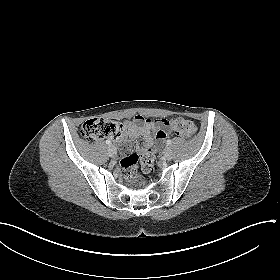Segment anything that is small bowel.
<instances>
[{
	"label": "small bowel",
	"mask_w": 280,
	"mask_h": 280,
	"mask_svg": "<svg viewBox=\"0 0 280 280\" xmlns=\"http://www.w3.org/2000/svg\"><path fill=\"white\" fill-rule=\"evenodd\" d=\"M167 125V120H152L142 115L135 116L132 120L125 123V130L115 138V141L122 145V151L129 148L131 141H136L139 136L144 138L145 148L152 152L156 151L165 139L168 133L163 129ZM138 152L144 151L138 143L135 145Z\"/></svg>",
	"instance_id": "obj_1"
}]
</instances>
